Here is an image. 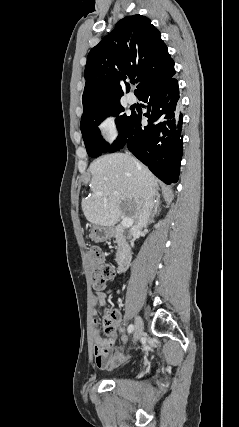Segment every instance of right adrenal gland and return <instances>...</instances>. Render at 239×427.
Returning a JSON list of instances; mask_svg holds the SVG:
<instances>
[{"label":"right adrenal gland","mask_w":239,"mask_h":427,"mask_svg":"<svg viewBox=\"0 0 239 427\" xmlns=\"http://www.w3.org/2000/svg\"><path fill=\"white\" fill-rule=\"evenodd\" d=\"M156 196H157V202H156V205H155V212L157 211V208H158V204H159L158 200L160 198V195L158 193H156Z\"/></svg>","instance_id":"2a0ac1e0"}]
</instances>
